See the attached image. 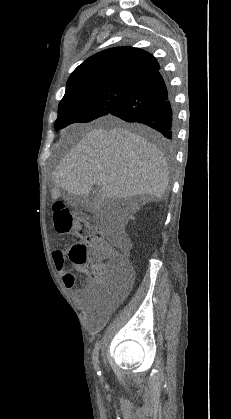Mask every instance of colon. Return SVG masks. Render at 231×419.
Listing matches in <instances>:
<instances>
[{"mask_svg": "<svg viewBox=\"0 0 231 419\" xmlns=\"http://www.w3.org/2000/svg\"><path fill=\"white\" fill-rule=\"evenodd\" d=\"M54 224L58 232H74L80 238L71 245L68 258L73 264L85 265L94 283L107 284L115 291L130 279L132 268L124 254L102 239L96 227L87 220L57 203L54 205ZM54 257L59 263L64 262L62 252H54Z\"/></svg>", "mask_w": 231, "mask_h": 419, "instance_id": "obj_1", "label": "colon"}]
</instances>
